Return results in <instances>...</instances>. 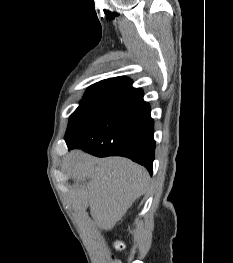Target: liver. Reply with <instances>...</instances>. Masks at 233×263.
Segmentation results:
<instances>
[{
  "label": "liver",
  "instance_id": "1",
  "mask_svg": "<svg viewBox=\"0 0 233 263\" xmlns=\"http://www.w3.org/2000/svg\"><path fill=\"white\" fill-rule=\"evenodd\" d=\"M68 168L77 182L71 197L76 209L90 206V214L102 230H110L133 202L149 188L146 169L122 157L93 158L80 150L68 156ZM90 178L87 186L79 184Z\"/></svg>",
  "mask_w": 233,
  "mask_h": 263
}]
</instances>
